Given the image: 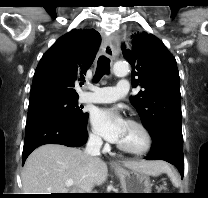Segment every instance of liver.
I'll use <instances>...</instances> for the list:
<instances>
[{"label":"liver","mask_w":208,"mask_h":198,"mask_svg":"<svg viewBox=\"0 0 208 198\" xmlns=\"http://www.w3.org/2000/svg\"><path fill=\"white\" fill-rule=\"evenodd\" d=\"M123 165L147 175L158 176L164 171L161 161H124ZM108 177L107 164L85 151L60 144H45L27 158L22 173L24 194L82 193ZM73 180V186H66Z\"/></svg>","instance_id":"liver-1"}]
</instances>
